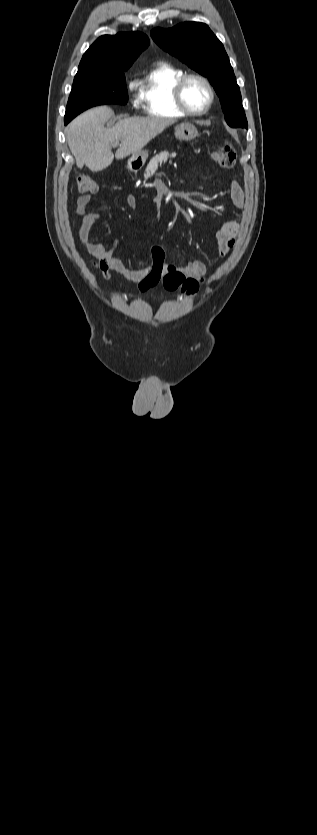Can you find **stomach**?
Masks as SVG:
<instances>
[{"instance_id": "stomach-1", "label": "stomach", "mask_w": 317, "mask_h": 835, "mask_svg": "<svg viewBox=\"0 0 317 835\" xmlns=\"http://www.w3.org/2000/svg\"><path fill=\"white\" fill-rule=\"evenodd\" d=\"M175 136L181 141H191L198 136L196 127L191 123H181L175 128ZM148 158V151L141 150L137 154L132 155L128 163H137L143 165Z\"/></svg>"}]
</instances>
